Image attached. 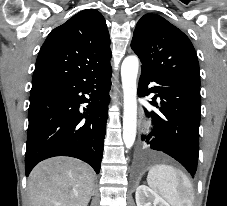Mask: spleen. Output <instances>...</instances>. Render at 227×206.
<instances>
[{
    "instance_id": "obj_1",
    "label": "spleen",
    "mask_w": 227,
    "mask_h": 206,
    "mask_svg": "<svg viewBox=\"0 0 227 206\" xmlns=\"http://www.w3.org/2000/svg\"><path fill=\"white\" fill-rule=\"evenodd\" d=\"M148 185L171 206H192L193 188L189 179L169 165H155L149 169Z\"/></svg>"
}]
</instances>
